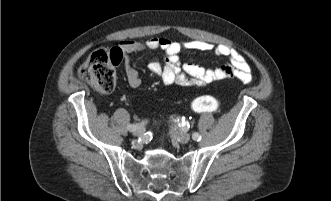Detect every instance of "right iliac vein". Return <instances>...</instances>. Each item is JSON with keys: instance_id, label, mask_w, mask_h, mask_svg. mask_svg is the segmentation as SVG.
<instances>
[{"instance_id": "obj_1", "label": "right iliac vein", "mask_w": 331, "mask_h": 201, "mask_svg": "<svg viewBox=\"0 0 331 201\" xmlns=\"http://www.w3.org/2000/svg\"><path fill=\"white\" fill-rule=\"evenodd\" d=\"M144 131H145V129H144L143 127L138 126V127H136L135 130L133 131V134H134L135 136H138V135L143 134Z\"/></svg>"}]
</instances>
